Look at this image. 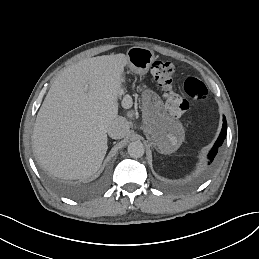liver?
<instances>
[{
  "label": "liver",
  "mask_w": 259,
  "mask_h": 259,
  "mask_svg": "<svg viewBox=\"0 0 259 259\" xmlns=\"http://www.w3.org/2000/svg\"><path fill=\"white\" fill-rule=\"evenodd\" d=\"M125 54L87 58L60 72L40 107L32 135L39 165L56 177L95 174L106 155L107 128L118 117ZM124 108H127L124 102Z\"/></svg>",
  "instance_id": "liver-1"
}]
</instances>
